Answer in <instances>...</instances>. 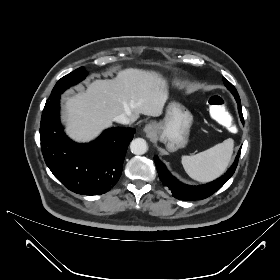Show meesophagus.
<instances>
[{
	"mask_svg": "<svg viewBox=\"0 0 280 280\" xmlns=\"http://www.w3.org/2000/svg\"><path fill=\"white\" fill-rule=\"evenodd\" d=\"M144 132L148 137H154L157 134V126L153 123H149L144 127Z\"/></svg>",
	"mask_w": 280,
	"mask_h": 280,
	"instance_id": "1",
	"label": "esophagus"
}]
</instances>
